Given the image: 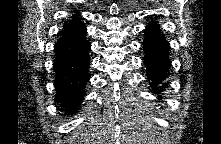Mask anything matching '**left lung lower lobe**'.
Returning <instances> with one entry per match:
<instances>
[{"mask_svg": "<svg viewBox=\"0 0 221 144\" xmlns=\"http://www.w3.org/2000/svg\"><path fill=\"white\" fill-rule=\"evenodd\" d=\"M143 49L147 78L151 82L153 91L161 93L165 87L162 82L168 77L167 72L171 62L169 61V44L158 31V25L155 22L146 28Z\"/></svg>", "mask_w": 221, "mask_h": 144, "instance_id": "0a47b994", "label": "left lung lower lobe"}]
</instances>
